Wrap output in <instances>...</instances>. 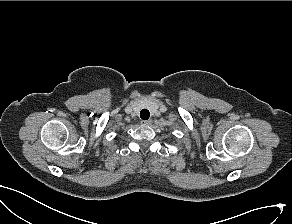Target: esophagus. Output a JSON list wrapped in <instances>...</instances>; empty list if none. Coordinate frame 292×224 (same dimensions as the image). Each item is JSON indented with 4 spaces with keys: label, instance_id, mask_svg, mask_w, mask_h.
Instances as JSON below:
<instances>
[{
    "label": "esophagus",
    "instance_id": "esophagus-1",
    "mask_svg": "<svg viewBox=\"0 0 292 224\" xmlns=\"http://www.w3.org/2000/svg\"><path fill=\"white\" fill-rule=\"evenodd\" d=\"M142 124H143V125H147V126H148V125H151V124H152V120H143V121H142Z\"/></svg>",
    "mask_w": 292,
    "mask_h": 224
}]
</instances>
